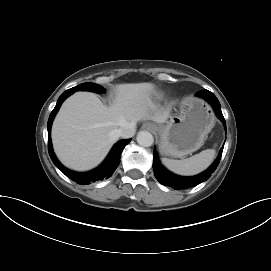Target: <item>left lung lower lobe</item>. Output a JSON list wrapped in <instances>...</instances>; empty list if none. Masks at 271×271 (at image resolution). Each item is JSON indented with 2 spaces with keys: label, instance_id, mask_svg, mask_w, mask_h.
<instances>
[{
  "label": "left lung lower lobe",
  "instance_id": "left-lung-lower-lobe-1",
  "mask_svg": "<svg viewBox=\"0 0 271 271\" xmlns=\"http://www.w3.org/2000/svg\"><path fill=\"white\" fill-rule=\"evenodd\" d=\"M196 95L204 98L212 105L217 116L224 123L225 128H226V123L222 115L221 106L216 96L208 90L197 92ZM223 147L221 148L220 153L217 159L214 161V163L205 172L194 177H181L167 171L158 160L156 148H154L153 170H154L155 177L162 185L170 186L174 189H186V188L196 186L206 181L211 176V173L215 171V169L217 168L220 162L222 152H223Z\"/></svg>",
  "mask_w": 271,
  "mask_h": 271
}]
</instances>
